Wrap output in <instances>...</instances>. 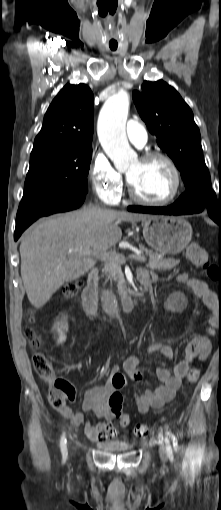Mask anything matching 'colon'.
Segmentation results:
<instances>
[{"mask_svg":"<svg viewBox=\"0 0 221 510\" xmlns=\"http://www.w3.org/2000/svg\"><path fill=\"white\" fill-rule=\"evenodd\" d=\"M185 256L189 262L202 269L212 281L218 282L221 285V266L210 261L208 253L202 246L196 243L190 244L185 251ZM80 286L79 282L67 284L64 287L63 296L66 299L73 298L78 293ZM34 320L35 312L31 309L28 312V322L32 323ZM26 336L35 352L32 358L33 368L49 387L47 395L49 404L56 410H65L67 402L75 400L74 388L66 380L55 378L52 363L43 351L40 336L32 329L27 330ZM198 377L199 370L196 368L191 369L187 374V383H195ZM111 385L115 392L110 396L109 402L116 408V419L122 426H127L130 423V417L121 408L123 398L119 392L126 386L124 374L121 372L114 373L111 377ZM133 433L136 437H144L148 434V428L145 425L137 424L133 428Z\"/></svg>","mask_w":221,"mask_h":510,"instance_id":"obj_1","label":"colon"}]
</instances>
